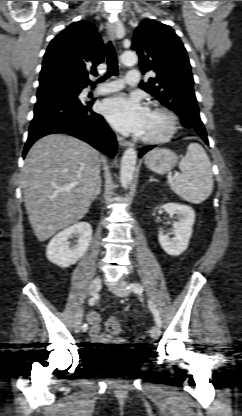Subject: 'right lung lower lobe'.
Segmentation results:
<instances>
[{
	"mask_svg": "<svg viewBox=\"0 0 242 416\" xmlns=\"http://www.w3.org/2000/svg\"><path fill=\"white\" fill-rule=\"evenodd\" d=\"M92 102L76 97L54 95L38 98L23 157L39 138L53 133H68L113 157L117 142L102 116L92 111Z\"/></svg>",
	"mask_w": 242,
	"mask_h": 416,
	"instance_id": "obj_1",
	"label": "right lung lower lobe"
}]
</instances>
